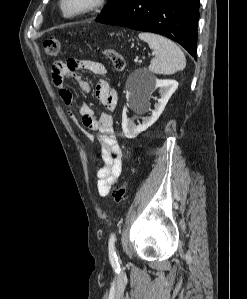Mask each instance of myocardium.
Instances as JSON below:
<instances>
[{"label":"myocardium","mask_w":247,"mask_h":299,"mask_svg":"<svg viewBox=\"0 0 247 299\" xmlns=\"http://www.w3.org/2000/svg\"><path fill=\"white\" fill-rule=\"evenodd\" d=\"M105 0H59L58 10L67 19L88 14L103 5Z\"/></svg>","instance_id":"f54148a6"}]
</instances>
